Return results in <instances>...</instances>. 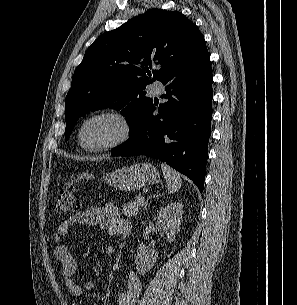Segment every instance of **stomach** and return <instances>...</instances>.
<instances>
[{"label":"stomach","instance_id":"1","mask_svg":"<svg viewBox=\"0 0 297 305\" xmlns=\"http://www.w3.org/2000/svg\"><path fill=\"white\" fill-rule=\"evenodd\" d=\"M103 179L109 186L119 191L130 192L158 183L160 173L150 163H137L107 173Z\"/></svg>","mask_w":297,"mask_h":305}]
</instances>
